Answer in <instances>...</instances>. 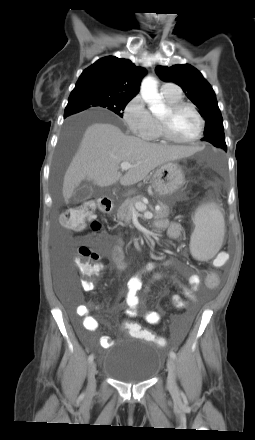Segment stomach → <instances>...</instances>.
Segmentation results:
<instances>
[{
  "label": "stomach",
  "mask_w": 255,
  "mask_h": 440,
  "mask_svg": "<svg viewBox=\"0 0 255 440\" xmlns=\"http://www.w3.org/2000/svg\"><path fill=\"white\" fill-rule=\"evenodd\" d=\"M182 168L174 162L159 166L153 174L152 185L160 196H169L184 184Z\"/></svg>",
  "instance_id": "1"
}]
</instances>
